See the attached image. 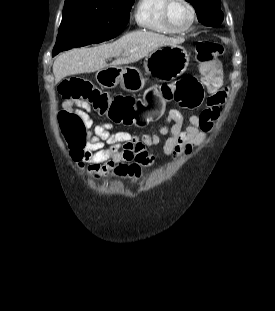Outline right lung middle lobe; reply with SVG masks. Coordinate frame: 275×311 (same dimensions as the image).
I'll list each match as a JSON object with an SVG mask.
<instances>
[{"instance_id": "dd1d6c3e", "label": "right lung middle lobe", "mask_w": 275, "mask_h": 311, "mask_svg": "<svg viewBox=\"0 0 275 311\" xmlns=\"http://www.w3.org/2000/svg\"><path fill=\"white\" fill-rule=\"evenodd\" d=\"M134 0H66L52 55L99 43L127 24Z\"/></svg>"}]
</instances>
